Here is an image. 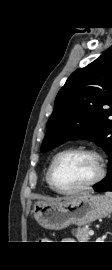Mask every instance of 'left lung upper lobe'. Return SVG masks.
<instances>
[{"label": "left lung upper lobe", "mask_w": 112, "mask_h": 270, "mask_svg": "<svg viewBox=\"0 0 112 270\" xmlns=\"http://www.w3.org/2000/svg\"><path fill=\"white\" fill-rule=\"evenodd\" d=\"M112 47L76 70L57 94L42 152L76 138H89L112 155Z\"/></svg>", "instance_id": "1"}]
</instances>
